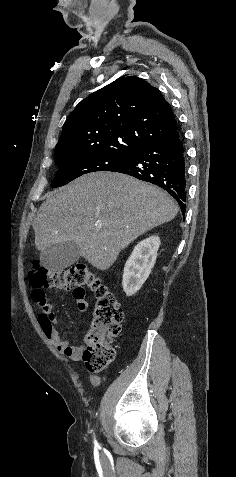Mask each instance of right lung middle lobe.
Here are the masks:
<instances>
[{"instance_id": "obj_1", "label": "right lung middle lobe", "mask_w": 236, "mask_h": 477, "mask_svg": "<svg viewBox=\"0 0 236 477\" xmlns=\"http://www.w3.org/2000/svg\"><path fill=\"white\" fill-rule=\"evenodd\" d=\"M59 170L51 186L66 185L72 180L91 172L112 171L125 164L129 157L108 154H85L71 158L55 159Z\"/></svg>"}]
</instances>
